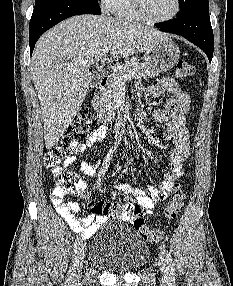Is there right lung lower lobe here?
I'll return each mask as SVG.
<instances>
[{"instance_id": "right-lung-lower-lobe-1", "label": "right lung lower lobe", "mask_w": 233, "mask_h": 286, "mask_svg": "<svg viewBox=\"0 0 233 286\" xmlns=\"http://www.w3.org/2000/svg\"><path fill=\"white\" fill-rule=\"evenodd\" d=\"M81 14L100 15L101 11L77 0H48L41 8L34 10L29 25L30 53L45 31L66 18Z\"/></svg>"}]
</instances>
